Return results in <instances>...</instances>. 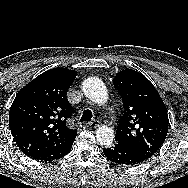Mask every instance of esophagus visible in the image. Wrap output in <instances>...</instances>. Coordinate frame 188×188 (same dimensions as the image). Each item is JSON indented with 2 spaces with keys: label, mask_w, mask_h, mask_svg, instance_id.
<instances>
[{
  "label": "esophagus",
  "mask_w": 188,
  "mask_h": 188,
  "mask_svg": "<svg viewBox=\"0 0 188 188\" xmlns=\"http://www.w3.org/2000/svg\"><path fill=\"white\" fill-rule=\"evenodd\" d=\"M100 125V122L98 120H94V121H91V122H87L86 123V126L87 127H90V128H96Z\"/></svg>",
  "instance_id": "esophagus-1"
}]
</instances>
